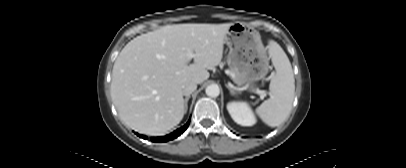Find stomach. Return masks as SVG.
<instances>
[{
	"label": "stomach",
	"instance_id": "0dacf381",
	"mask_svg": "<svg viewBox=\"0 0 406 168\" xmlns=\"http://www.w3.org/2000/svg\"><path fill=\"white\" fill-rule=\"evenodd\" d=\"M225 42L229 48L227 63L235 74V83L248 85L249 91H255V83L269 70V57L259 32L247 24L235 22L228 30Z\"/></svg>",
	"mask_w": 406,
	"mask_h": 168
}]
</instances>
